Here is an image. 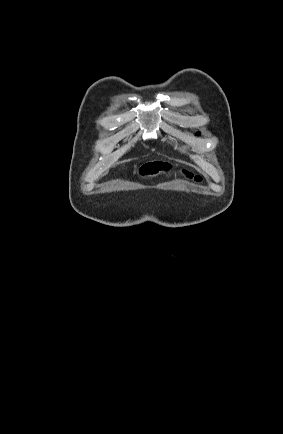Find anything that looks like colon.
<instances>
[{
	"label": "colon",
	"mask_w": 283,
	"mask_h": 434,
	"mask_svg": "<svg viewBox=\"0 0 283 434\" xmlns=\"http://www.w3.org/2000/svg\"><path fill=\"white\" fill-rule=\"evenodd\" d=\"M166 169H167V166L165 164H162V163H152V164H147V165L143 166L141 168V170H140V173L143 176L154 175V174L159 173L161 171H164ZM194 179L196 181H200V177H198V176H195Z\"/></svg>",
	"instance_id": "colon-1"
}]
</instances>
